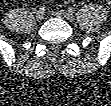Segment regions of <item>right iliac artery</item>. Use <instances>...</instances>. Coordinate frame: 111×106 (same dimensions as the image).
I'll list each match as a JSON object with an SVG mask.
<instances>
[{
  "instance_id": "82829eb1",
  "label": "right iliac artery",
  "mask_w": 111,
  "mask_h": 106,
  "mask_svg": "<svg viewBox=\"0 0 111 106\" xmlns=\"http://www.w3.org/2000/svg\"><path fill=\"white\" fill-rule=\"evenodd\" d=\"M45 10H46V7H45V6H40V7H39V11L44 12Z\"/></svg>"
}]
</instances>
